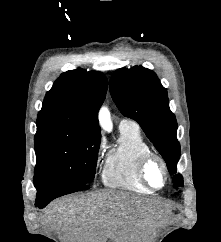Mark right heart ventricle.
Masks as SVG:
<instances>
[{
  "label": "right heart ventricle",
  "mask_w": 221,
  "mask_h": 242,
  "mask_svg": "<svg viewBox=\"0 0 221 242\" xmlns=\"http://www.w3.org/2000/svg\"><path fill=\"white\" fill-rule=\"evenodd\" d=\"M120 138L116 148L106 157L102 180L109 188L121 189L135 193H151L138 175V163L151 148L134 126L119 127Z\"/></svg>",
  "instance_id": "obj_1"
}]
</instances>
